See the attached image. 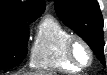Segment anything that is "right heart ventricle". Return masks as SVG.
I'll return each mask as SVG.
<instances>
[{
    "label": "right heart ventricle",
    "instance_id": "right-heart-ventricle-1",
    "mask_svg": "<svg viewBox=\"0 0 107 75\" xmlns=\"http://www.w3.org/2000/svg\"><path fill=\"white\" fill-rule=\"evenodd\" d=\"M72 34L55 18L46 17L38 26L30 54V66L39 70L78 72L66 56L65 46Z\"/></svg>",
    "mask_w": 107,
    "mask_h": 75
}]
</instances>
